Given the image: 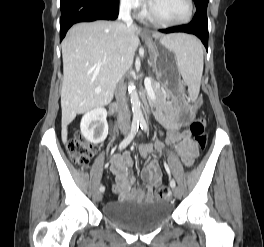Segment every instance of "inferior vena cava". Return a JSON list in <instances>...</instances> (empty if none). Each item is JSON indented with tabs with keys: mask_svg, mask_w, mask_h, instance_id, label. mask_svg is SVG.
<instances>
[{
	"mask_svg": "<svg viewBox=\"0 0 264 247\" xmlns=\"http://www.w3.org/2000/svg\"><path fill=\"white\" fill-rule=\"evenodd\" d=\"M131 7L130 0H125L120 5L119 17L127 26L133 25V20L130 15ZM115 98L119 105L118 124L120 127H127L130 125V111L126 100V88L121 79L116 84Z\"/></svg>",
	"mask_w": 264,
	"mask_h": 247,
	"instance_id": "602c4592",
	"label": "inferior vena cava"
}]
</instances>
